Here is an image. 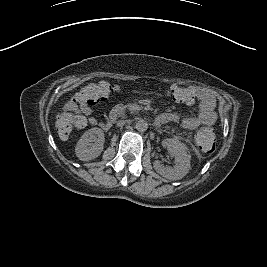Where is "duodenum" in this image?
<instances>
[{"mask_svg": "<svg viewBox=\"0 0 267 267\" xmlns=\"http://www.w3.org/2000/svg\"><path fill=\"white\" fill-rule=\"evenodd\" d=\"M126 116V112L123 108L121 107H116L112 110L110 118H109V123H113L117 118H121ZM160 123V118L158 120Z\"/></svg>", "mask_w": 267, "mask_h": 267, "instance_id": "obj_1", "label": "duodenum"}]
</instances>
